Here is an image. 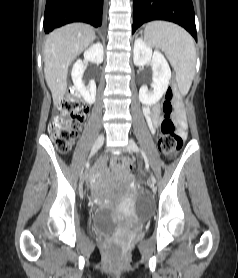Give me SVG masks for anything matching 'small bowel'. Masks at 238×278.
Listing matches in <instances>:
<instances>
[{
    "label": "small bowel",
    "instance_id": "1",
    "mask_svg": "<svg viewBox=\"0 0 238 278\" xmlns=\"http://www.w3.org/2000/svg\"><path fill=\"white\" fill-rule=\"evenodd\" d=\"M143 113L150 130L154 132L162 119L160 105L157 104L153 108H150L149 106H145L143 108ZM175 119L179 127L180 136L185 137L186 124H185L183 112L181 110V106L179 102L177 103V111L175 114Z\"/></svg>",
    "mask_w": 238,
    "mask_h": 278
}]
</instances>
